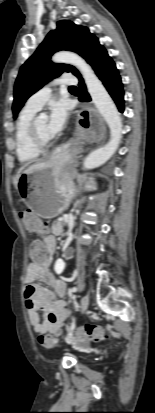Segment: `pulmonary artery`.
Listing matches in <instances>:
<instances>
[{
  "instance_id": "pulmonary-artery-1",
  "label": "pulmonary artery",
  "mask_w": 155,
  "mask_h": 413,
  "mask_svg": "<svg viewBox=\"0 0 155 413\" xmlns=\"http://www.w3.org/2000/svg\"><path fill=\"white\" fill-rule=\"evenodd\" d=\"M76 77L73 74H63L55 79L50 85L43 87L41 90L34 93L26 102V107L38 111L47 102L52 92V85H74Z\"/></svg>"
}]
</instances>
